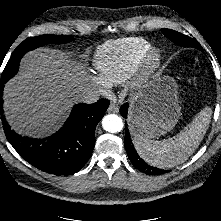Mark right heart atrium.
Instances as JSON below:
<instances>
[{
  "instance_id": "1",
  "label": "right heart atrium",
  "mask_w": 221,
  "mask_h": 221,
  "mask_svg": "<svg viewBox=\"0 0 221 221\" xmlns=\"http://www.w3.org/2000/svg\"><path fill=\"white\" fill-rule=\"evenodd\" d=\"M89 78L101 92L106 93L109 91V85L106 84L97 74H90Z\"/></svg>"
}]
</instances>
